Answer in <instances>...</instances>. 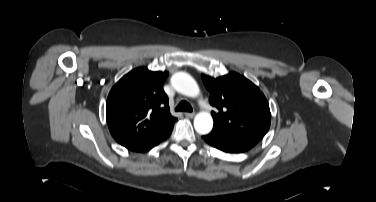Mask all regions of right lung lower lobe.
Wrapping results in <instances>:
<instances>
[{"label":"right lung lower lobe","mask_w":376,"mask_h":202,"mask_svg":"<svg viewBox=\"0 0 376 202\" xmlns=\"http://www.w3.org/2000/svg\"><path fill=\"white\" fill-rule=\"evenodd\" d=\"M172 129H173V126L169 130L165 131L160 136H158V138L155 141H153L149 144H146L144 146L137 147V148L133 149L132 151H136V152H146V151H148L149 149L158 145L163 140L167 139L169 137V135L171 134Z\"/></svg>","instance_id":"1"}]
</instances>
